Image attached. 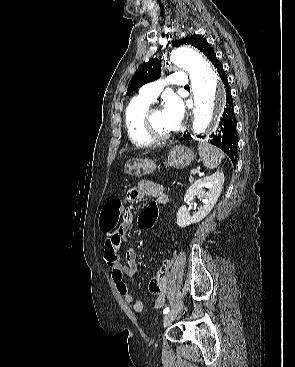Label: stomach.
Masks as SVG:
<instances>
[{"label":"stomach","instance_id":"stomach-1","mask_svg":"<svg viewBox=\"0 0 295 367\" xmlns=\"http://www.w3.org/2000/svg\"><path fill=\"white\" fill-rule=\"evenodd\" d=\"M194 159L193 151L186 146H175L168 154V158L165 162L167 167H173L176 169L186 168L191 164ZM159 167V166H158ZM157 168V165L152 160H134L129 162L125 166L127 174L134 177H141L146 174L152 173Z\"/></svg>","mask_w":295,"mask_h":367}]
</instances>
